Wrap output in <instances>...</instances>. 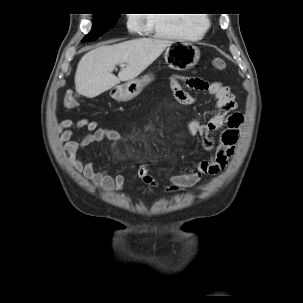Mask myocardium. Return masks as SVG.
Instances as JSON below:
<instances>
[{"mask_svg": "<svg viewBox=\"0 0 303 303\" xmlns=\"http://www.w3.org/2000/svg\"><path fill=\"white\" fill-rule=\"evenodd\" d=\"M210 26H211V23H210L209 20L201 21V29L202 30L208 29V28H210Z\"/></svg>", "mask_w": 303, "mask_h": 303, "instance_id": "1", "label": "myocardium"}]
</instances>
